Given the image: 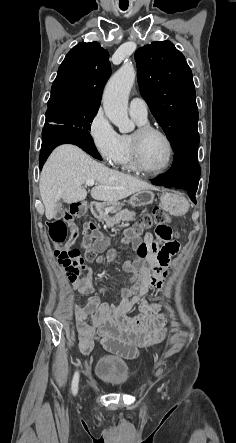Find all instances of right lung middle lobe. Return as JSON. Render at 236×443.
<instances>
[{
	"mask_svg": "<svg viewBox=\"0 0 236 443\" xmlns=\"http://www.w3.org/2000/svg\"><path fill=\"white\" fill-rule=\"evenodd\" d=\"M98 111V107L79 105L69 101H57L48 104L44 128L49 125H62L69 130L86 137H91L89 130Z\"/></svg>",
	"mask_w": 236,
	"mask_h": 443,
	"instance_id": "dd1d6c3e",
	"label": "right lung middle lobe"
}]
</instances>
